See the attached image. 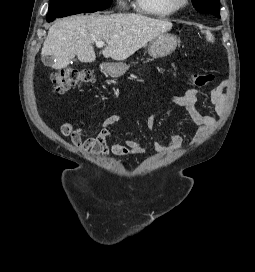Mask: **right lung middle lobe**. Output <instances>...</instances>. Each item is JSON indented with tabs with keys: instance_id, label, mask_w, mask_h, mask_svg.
<instances>
[{
	"instance_id": "dd1d6c3e",
	"label": "right lung middle lobe",
	"mask_w": 255,
	"mask_h": 272,
	"mask_svg": "<svg viewBox=\"0 0 255 272\" xmlns=\"http://www.w3.org/2000/svg\"><path fill=\"white\" fill-rule=\"evenodd\" d=\"M112 0H51L47 20L108 8Z\"/></svg>"
}]
</instances>
